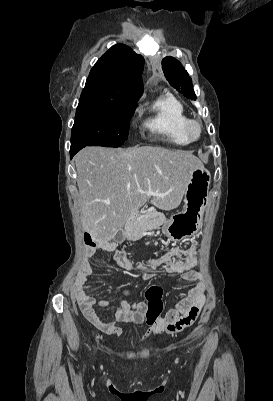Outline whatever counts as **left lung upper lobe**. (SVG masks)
<instances>
[{
  "label": "left lung upper lobe",
  "instance_id": "obj_1",
  "mask_svg": "<svg viewBox=\"0 0 273 401\" xmlns=\"http://www.w3.org/2000/svg\"><path fill=\"white\" fill-rule=\"evenodd\" d=\"M162 69L171 86L187 98L194 101L197 99L193 90L192 79L179 61L170 56L165 57L162 60Z\"/></svg>",
  "mask_w": 273,
  "mask_h": 401
}]
</instances>
